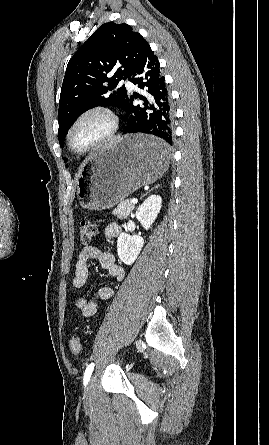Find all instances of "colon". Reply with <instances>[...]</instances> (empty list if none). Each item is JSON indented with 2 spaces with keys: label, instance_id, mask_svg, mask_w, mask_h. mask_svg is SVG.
<instances>
[{
  "label": "colon",
  "instance_id": "5ec220e1",
  "mask_svg": "<svg viewBox=\"0 0 269 445\" xmlns=\"http://www.w3.org/2000/svg\"><path fill=\"white\" fill-rule=\"evenodd\" d=\"M96 234V225L89 221L83 220L79 226V241L81 245H88ZM70 350L75 356H79L82 352V346L77 336L72 337L69 343Z\"/></svg>",
  "mask_w": 269,
  "mask_h": 445
}]
</instances>
